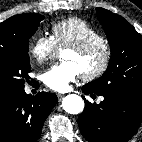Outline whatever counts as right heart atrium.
Here are the masks:
<instances>
[{
  "mask_svg": "<svg viewBox=\"0 0 142 142\" xmlns=\"http://www.w3.org/2000/svg\"><path fill=\"white\" fill-rule=\"evenodd\" d=\"M58 46L50 35L37 34L30 43L31 57L39 64L51 61L57 54Z\"/></svg>",
  "mask_w": 142,
  "mask_h": 142,
  "instance_id": "right-heart-atrium-1",
  "label": "right heart atrium"
}]
</instances>
